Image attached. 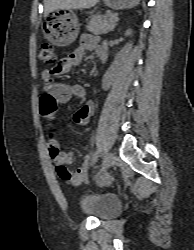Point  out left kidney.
Returning a JSON list of instances; mask_svg holds the SVG:
<instances>
[{"mask_svg":"<svg viewBox=\"0 0 194 250\" xmlns=\"http://www.w3.org/2000/svg\"><path fill=\"white\" fill-rule=\"evenodd\" d=\"M132 34V30L131 29H128L126 32H125V36H130ZM132 48V44H129L128 45V49H131Z\"/></svg>","mask_w":194,"mask_h":250,"instance_id":"obj_1","label":"left kidney"}]
</instances>
